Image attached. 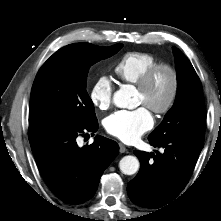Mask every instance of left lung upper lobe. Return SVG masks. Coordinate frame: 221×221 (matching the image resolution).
I'll return each mask as SVG.
<instances>
[{
  "label": "left lung upper lobe",
  "instance_id": "left-lung-upper-lobe-1",
  "mask_svg": "<svg viewBox=\"0 0 221 221\" xmlns=\"http://www.w3.org/2000/svg\"><path fill=\"white\" fill-rule=\"evenodd\" d=\"M177 64V98L162 123L148 139L160 141L185 137L204 141L206 110L200 79L190 61L173 47Z\"/></svg>",
  "mask_w": 221,
  "mask_h": 221
}]
</instances>
